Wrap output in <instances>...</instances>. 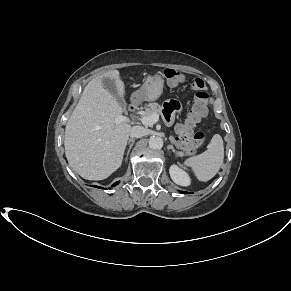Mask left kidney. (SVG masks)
<instances>
[{
    "mask_svg": "<svg viewBox=\"0 0 291 291\" xmlns=\"http://www.w3.org/2000/svg\"><path fill=\"white\" fill-rule=\"evenodd\" d=\"M170 177L174 183L180 186H189L190 185V177L188 174L179 168L177 165H172L169 169Z\"/></svg>",
    "mask_w": 291,
    "mask_h": 291,
    "instance_id": "obj_1",
    "label": "left kidney"
}]
</instances>
